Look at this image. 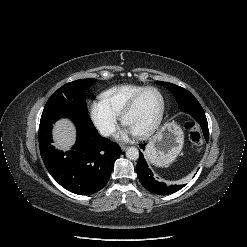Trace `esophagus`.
<instances>
[{
  "instance_id": "esophagus-1",
  "label": "esophagus",
  "mask_w": 247,
  "mask_h": 247,
  "mask_svg": "<svg viewBox=\"0 0 247 247\" xmlns=\"http://www.w3.org/2000/svg\"><path fill=\"white\" fill-rule=\"evenodd\" d=\"M128 147H129V146H127V145H122V146H121V149H122V151H125V150L128 149Z\"/></svg>"
}]
</instances>
